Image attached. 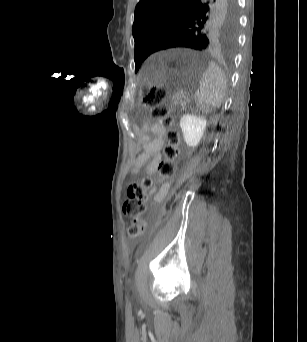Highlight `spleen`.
I'll list each match as a JSON object with an SVG mask.
<instances>
[{
  "instance_id": "1",
  "label": "spleen",
  "mask_w": 307,
  "mask_h": 342,
  "mask_svg": "<svg viewBox=\"0 0 307 342\" xmlns=\"http://www.w3.org/2000/svg\"><path fill=\"white\" fill-rule=\"evenodd\" d=\"M210 61L207 70L202 74L199 92L196 94V100L201 104L200 108L204 114H216L226 94L224 74L213 58Z\"/></svg>"
}]
</instances>
